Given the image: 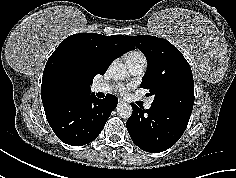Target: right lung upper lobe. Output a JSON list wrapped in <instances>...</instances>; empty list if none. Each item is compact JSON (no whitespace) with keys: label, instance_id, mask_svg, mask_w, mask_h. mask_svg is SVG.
<instances>
[{"label":"right lung upper lobe","instance_id":"right-lung-upper-lobe-1","mask_svg":"<svg viewBox=\"0 0 236 178\" xmlns=\"http://www.w3.org/2000/svg\"><path fill=\"white\" fill-rule=\"evenodd\" d=\"M134 46L123 35L79 33L67 37L49 57L42 78L43 106L90 92L93 78Z\"/></svg>","mask_w":236,"mask_h":178}]
</instances>
